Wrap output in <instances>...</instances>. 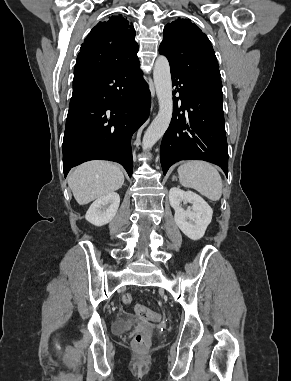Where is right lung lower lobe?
<instances>
[{
    "label": "right lung lower lobe",
    "instance_id": "1",
    "mask_svg": "<svg viewBox=\"0 0 291 381\" xmlns=\"http://www.w3.org/2000/svg\"><path fill=\"white\" fill-rule=\"evenodd\" d=\"M150 92L139 59L113 69L75 68L63 139V171L103 159L132 175L131 137L146 121Z\"/></svg>",
    "mask_w": 291,
    "mask_h": 381
}]
</instances>
